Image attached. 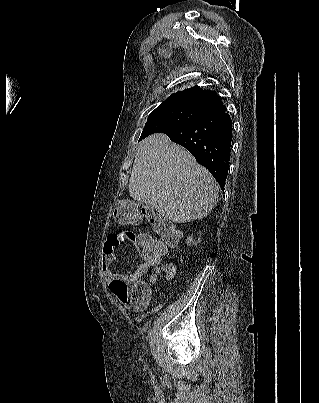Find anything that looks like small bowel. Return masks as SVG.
<instances>
[{
  "label": "small bowel",
  "instance_id": "obj_1",
  "mask_svg": "<svg viewBox=\"0 0 319 403\" xmlns=\"http://www.w3.org/2000/svg\"><path fill=\"white\" fill-rule=\"evenodd\" d=\"M115 249H139L133 229L124 225L121 229L106 230L102 271L108 281V291L114 294V299L122 309H147L148 300H152V285H149V279L141 277L151 269L149 278L154 282L160 273L161 257L165 254H160L159 259L141 254L140 263L134 273L119 274L113 270L117 260Z\"/></svg>",
  "mask_w": 319,
  "mask_h": 403
}]
</instances>
